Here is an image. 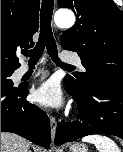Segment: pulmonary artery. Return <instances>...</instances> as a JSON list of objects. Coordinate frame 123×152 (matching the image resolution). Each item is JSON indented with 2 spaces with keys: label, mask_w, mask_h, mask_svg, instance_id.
<instances>
[{
  "label": "pulmonary artery",
  "mask_w": 123,
  "mask_h": 152,
  "mask_svg": "<svg viewBox=\"0 0 123 152\" xmlns=\"http://www.w3.org/2000/svg\"><path fill=\"white\" fill-rule=\"evenodd\" d=\"M61 61L65 62V63L77 64L80 68H82L81 61H80L79 57L76 56V55L68 54V53L62 54L61 55ZM29 70H30V68L27 65H22L18 69L17 74H18V76H23L26 73H28Z\"/></svg>",
  "instance_id": "1"
}]
</instances>
